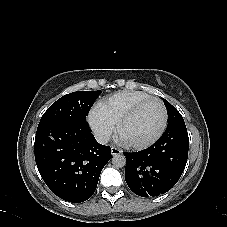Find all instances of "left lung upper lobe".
Returning a JSON list of instances; mask_svg holds the SVG:
<instances>
[{
  "mask_svg": "<svg viewBox=\"0 0 227 227\" xmlns=\"http://www.w3.org/2000/svg\"><path fill=\"white\" fill-rule=\"evenodd\" d=\"M168 112V124L183 120L181 114L166 99L163 98Z\"/></svg>",
  "mask_w": 227,
  "mask_h": 227,
  "instance_id": "1",
  "label": "left lung upper lobe"
}]
</instances>
